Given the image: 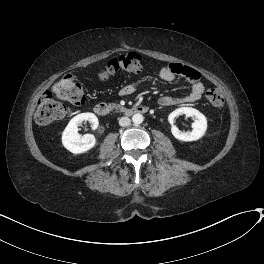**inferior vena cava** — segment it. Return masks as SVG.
<instances>
[{"mask_svg": "<svg viewBox=\"0 0 264 264\" xmlns=\"http://www.w3.org/2000/svg\"><path fill=\"white\" fill-rule=\"evenodd\" d=\"M131 123V120L128 117H121L119 119V125L122 127L129 126Z\"/></svg>", "mask_w": 264, "mask_h": 264, "instance_id": "obj_1", "label": "inferior vena cava"}]
</instances>
